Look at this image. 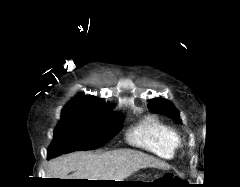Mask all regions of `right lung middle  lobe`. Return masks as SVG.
I'll use <instances>...</instances> for the list:
<instances>
[{
  "label": "right lung middle lobe",
  "instance_id": "dd1d6c3e",
  "mask_svg": "<svg viewBox=\"0 0 240 187\" xmlns=\"http://www.w3.org/2000/svg\"><path fill=\"white\" fill-rule=\"evenodd\" d=\"M122 121V114L63 110L47 158L96 149L121 129Z\"/></svg>",
  "mask_w": 240,
  "mask_h": 187
}]
</instances>
